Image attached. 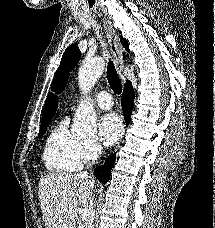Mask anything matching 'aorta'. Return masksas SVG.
Masks as SVG:
<instances>
[{"label":"aorta","mask_w":215,"mask_h":228,"mask_svg":"<svg viewBox=\"0 0 215 228\" xmlns=\"http://www.w3.org/2000/svg\"><path fill=\"white\" fill-rule=\"evenodd\" d=\"M104 70L102 58L85 60L79 68L78 78L80 88H92ZM97 128V118L90 104H79L78 110L73 120L72 132L78 136H95Z\"/></svg>","instance_id":"1"}]
</instances>
